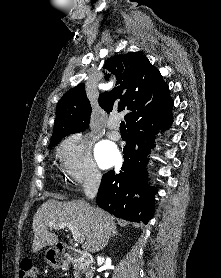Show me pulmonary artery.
Segmentation results:
<instances>
[{
    "mask_svg": "<svg viewBox=\"0 0 221 278\" xmlns=\"http://www.w3.org/2000/svg\"><path fill=\"white\" fill-rule=\"evenodd\" d=\"M117 123L115 121H110L108 123V136L109 138L113 139V140H119L120 139V133L117 130Z\"/></svg>",
    "mask_w": 221,
    "mask_h": 278,
    "instance_id": "obj_1",
    "label": "pulmonary artery"
}]
</instances>
